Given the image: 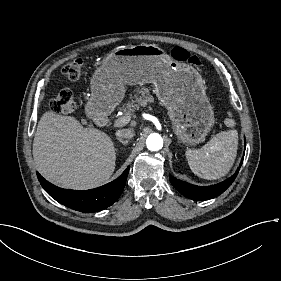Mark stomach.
I'll use <instances>...</instances> for the list:
<instances>
[{
	"instance_id": "stomach-1",
	"label": "stomach",
	"mask_w": 281,
	"mask_h": 281,
	"mask_svg": "<svg viewBox=\"0 0 281 281\" xmlns=\"http://www.w3.org/2000/svg\"><path fill=\"white\" fill-rule=\"evenodd\" d=\"M148 82L154 83L155 93L168 108L179 139L190 145L202 142L214 119L203 79L193 67L175 62L155 45L119 48L105 58L91 80L87 117L109 115L122 100L125 84Z\"/></svg>"
}]
</instances>
